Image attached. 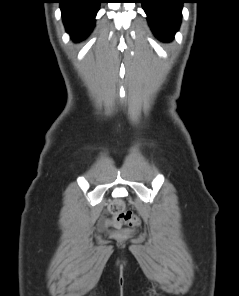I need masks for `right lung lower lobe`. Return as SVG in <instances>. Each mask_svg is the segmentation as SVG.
<instances>
[{
    "label": "right lung lower lobe",
    "instance_id": "right-lung-lower-lobe-1",
    "mask_svg": "<svg viewBox=\"0 0 239 296\" xmlns=\"http://www.w3.org/2000/svg\"><path fill=\"white\" fill-rule=\"evenodd\" d=\"M66 31L75 41L87 37L102 0H59Z\"/></svg>",
    "mask_w": 239,
    "mask_h": 296
}]
</instances>
